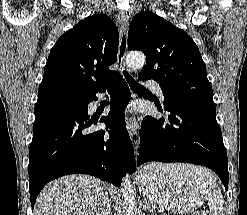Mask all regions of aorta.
I'll return each mask as SVG.
<instances>
[{
	"mask_svg": "<svg viewBox=\"0 0 247 215\" xmlns=\"http://www.w3.org/2000/svg\"><path fill=\"white\" fill-rule=\"evenodd\" d=\"M126 61L130 67L139 69L144 66L146 58L142 53L132 52L127 55ZM132 188L130 177L126 174L121 184L123 215H139Z\"/></svg>",
	"mask_w": 247,
	"mask_h": 215,
	"instance_id": "aorta-1",
	"label": "aorta"
}]
</instances>
